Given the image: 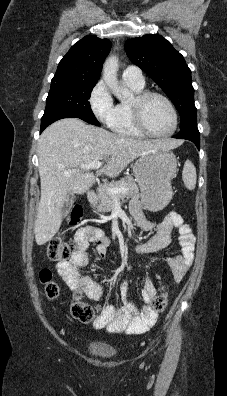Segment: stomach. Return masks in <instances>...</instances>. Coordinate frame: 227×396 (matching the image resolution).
<instances>
[{"mask_svg": "<svg viewBox=\"0 0 227 396\" xmlns=\"http://www.w3.org/2000/svg\"><path fill=\"white\" fill-rule=\"evenodd\" d=\"M176 171L177 160L170 150L157 148L138 157L133 173L146 209L155 212L169 204L173 195L171 180Z\"/></svg>", "mask_w": 227, "mask_h": 396, "instance_id": "stomach-1", "label": "stomach"}]
</instances>
